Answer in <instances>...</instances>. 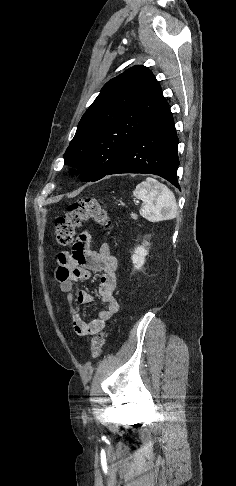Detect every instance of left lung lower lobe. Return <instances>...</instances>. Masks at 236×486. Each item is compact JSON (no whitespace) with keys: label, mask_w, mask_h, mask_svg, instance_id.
<instances>
[{"label":"left lung lower lobe","mask_w":236,"mask_h":486,"mask_svg":"<svg viewBox=\"0 0 236 486\" xmlns=\"http://www.w3.org/2000/svg\"><path fill=\"white\" fill-rule=\"evenodd\" d=\"M178 137L168 107L130 143L106 175L148 173L165 178L177 188Z\"/></svg>","instance_id":"left-lung-lower-lobe-1"}]
</instances>
